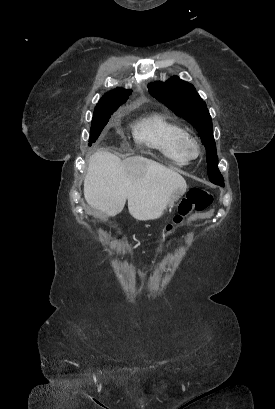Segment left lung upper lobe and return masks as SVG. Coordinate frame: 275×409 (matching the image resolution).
<instances>
[{
	"instance_id": "obj_1",
	"label": "left lung upper lobe",
	"mask_w": 275,
	"mask_h": 409,
	"mask_svg": "<svg viewBox=\"0 0 275 409\" xmlns=\"http://www.w3.org/2000/svg\"><path fill=\"white\" fill-rule=\"evenodd\" d=\"M148 87L153 97L197 129L207 151L209 179L212 183L223 187L224 179L218 169L211 117L205 102L198 95L193 85L177 76H173L164 83H150Z\"/></svg>"
}]
</instances>
